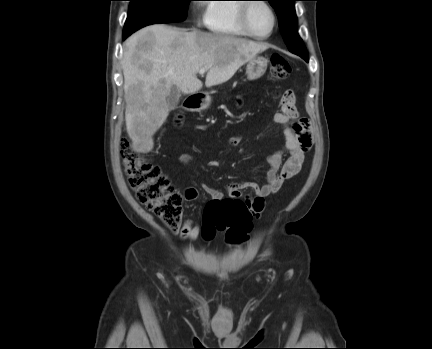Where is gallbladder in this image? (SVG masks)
<instances>
[{"label":"gallbladder","mask_w":432,"mask_h":349,"mask_svg":"<svg viewBox=\"0 0 432 349\" xmlns=\"http://www.w3.org/2000/svg\"><path fill=\"white\" fill-rule=\"evenodd\" d=\"M180 94L176 87H172L170 94L167 97V103L170 110H174L179 103Z\"/></svg>","instance_id":"obj_1"}]
</instances>
